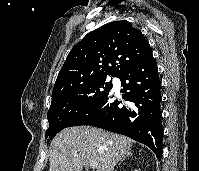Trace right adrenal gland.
I'll return each instance as SVG.
<instances>
[{
    "label": "right adrenal gland",
    "instance_id": "2a0ac1e0",
    "mask_svg": "<svg viewBox=\"0 0 199 171\" xmlns=\"http://www.w3.org/2000/svg\"><path fill=\"white\" fill-rule=\"evenodd\" d=\"M131 155H132L131 151H128V152L126 153V156H124V157L121 159L120 163H121L122 161H124L127 157L131 156ZM120 163H119V164H120Z\"/></svg>",
    "mask_w": 199,
    "mask_h": 171
}]
</instances>
